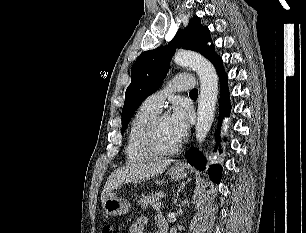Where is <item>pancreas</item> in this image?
Listing matches in <instances>:
<instances>
[{
    "mask_svg": "<svg viewBox=\"0 0 306 233\" xmlns=\"http://www.w3.org/2000/svg\"><path fill=\"white\" fill-rule=\"evenodd\" d=\"M162 197V193H155L147 196H143L138 200V204L143 208L147 209L149 205H153L159 201Z\"/></svg>",
    "mask_w": 306,
    "mask_h": 233,
    "instance_id": "obj_1",
    "label": "pancreas"
}]
</instances>
